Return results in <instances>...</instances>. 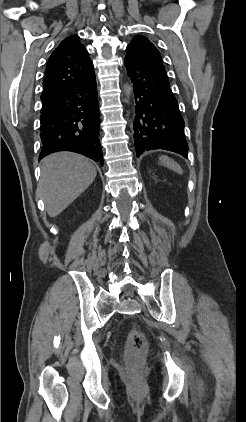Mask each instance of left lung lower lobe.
Wrapping results in <instances>:
<instances>
[{
    "instance_id": "left-lung-lower-lobe-1",
    "label": "left lung lower lobe",
    "mask_w": 246,
    "mask_h": 422,
    "mask_svg": "<svg viewBox=\"0 0 246 422\" xmlns=\"http://www.w3.org/2000/svg\"><path fill=\"white\" fill-rule=\"evenodd\" d=\"M135 95L136 154L164 149L188 157L184 120L167 77L155 71L132 50L124 59Z\"/></svg>"
}]
</instances>
